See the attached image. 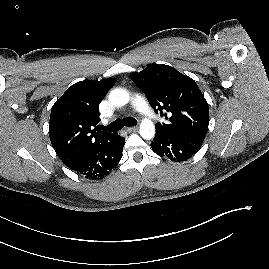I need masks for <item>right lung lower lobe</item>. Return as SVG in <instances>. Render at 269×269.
I'll return each instance as SVG.
<instances>
[{
    "label": "right lung lower lobe",
    "mask_w": 269,
    "mask_h": 269,
    "mask_svg": "<svg viewBox=\"0 0 269 269\" xmlns=\"http://www.w3.org/2000/svg\"><path fill=\"white\" fill-rule=\"evenodd\" d=\"M124 143L125 138L116 133L110 140L85 154L69 168L92 180L103 178L119 163Z\"/></svg>",
    "instance_id": "1"
}]
</instances>
